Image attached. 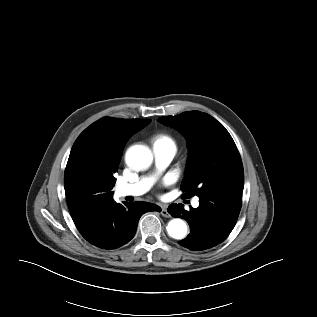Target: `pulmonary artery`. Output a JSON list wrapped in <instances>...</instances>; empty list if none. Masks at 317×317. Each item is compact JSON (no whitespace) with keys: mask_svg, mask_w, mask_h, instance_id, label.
Wrapping results in <instances>:
<instances>
[{"mask_svg":"<svg viewBox=\"0 0 317 317\" xmlns=\"http://www.w3.org/2000/svg\"><path fill=\"white\" fill-rule=\"evenodd\" d=\"M175 152L176 150L173 147L154 144L153 153L157 167L164 169L172 161ZM153 182V177H144L133 183L120 184L116 188V194L119 197L140 196L150 189ZM192 205L195 208L198 207V199H194Z\"/></svg>","mask_w":317,"mask_h":317,"instance_id":"pulmonary-artery-1","label":"pulmonary artery"}]
</instances>
